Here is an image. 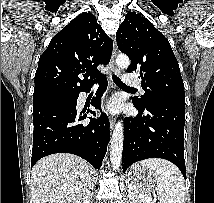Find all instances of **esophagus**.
<instances>
[{
	"instance_id": "34e87169",
	"label": "esophagus",
	"mask_w": 214,
	"mask_h": 203,
	"mask_svg": "<svg viewBox=\"0 0 214 203\" xmlns=\"http://www.w3.org/2000/svg\"><path fill=\"white\" fill-rule=\"evenodd\" d=\"M116 56H117V48H116V42H115V39H114V43H113V52H112V56H111V60H110V67H111V70L114 74L116 75H119L120 74V69L116 66V62H115V59H116ZM114 123H115V120L113 117L110 118V131L112 132L113 128H114Z\"/></svg>"
}]
</instances>
